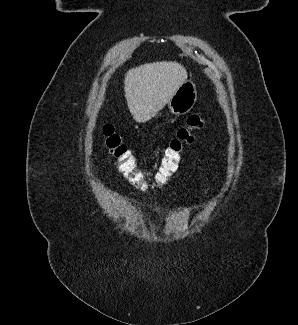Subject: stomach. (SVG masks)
<instances>
[{"instance_id": "obj_1", "label": "stomach", "mask_w": 298, "mask_h": 325, "mask_svg": "<svg viewBox=\"0 0 298 325\" xmlns=\"http://www.w3.org/2000/svg\"><path fill=\"white\" fill-rule=\"evenodd\" d=\"M197 100V88L196 84H194L193 80H185L179 88H177L175 94H172L169 102H167V106L172 112V114H186L189 112L191 108H193L195 102ZM155 118L161 116V112H157L154 114Z\"/></svg>"}]
</instances>
